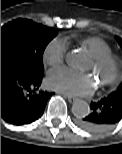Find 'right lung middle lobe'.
<instances>
[{"label": "right lung middle lobe", "instance_id": "obj_1", "mask_svg": "<svg viewBox=\"0 0 122 154\" xmlns=\"http://www.w3.org/2000/svg\"><path fill=\"white\" fill-rule=\"evenodd\" d=\"M56 35L55 29L31 20H13L1 27V56L23 59L34 74L43 75V53Z\"/></svg>", "mask_w": 122, "mask_h": 154}]
</instances>
